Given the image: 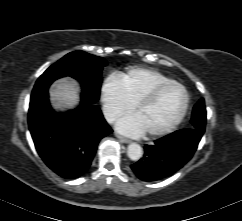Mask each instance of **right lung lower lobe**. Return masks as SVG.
I'll use <instances>...</instances> for the list:
<instances>
[{
  "mask_svg": "<svg viewBox=\"0 0 242 221\" xmlns=\"http://www.w3.org/2000/svg\"><path fill=\"white\" fill-rule=\"evenodd\" d=\"M28 124L45 164L68 179L88 170L99 141L112 132L101 110L83 95L78 108L61 114L51 108L48 92L31 97Z\"/></svg>",
  "mask_w": 242,
  "mask_h": 221,
  "instance_id": "right-lung-lower-lobe-1",
  "label": "right lung lower lobe"
}]
</instances>
